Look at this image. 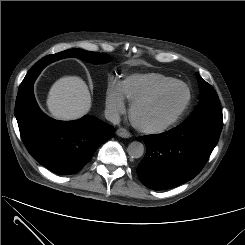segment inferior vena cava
<instances>
[{
	"label": "inferior vena cava",
	"mask_w": 245,
	"mask_h": 245,
	"mask_svg": "<svg viewBox=\"0 0 245 245\" xmlns=\"http://www.w3.org/2000/svg\"><path fill=\"white\" fill-rule=\"evenodd\" d=\"M105 118L113 124H119L120 122V115L118 111L113 109H106L105 110Z\"/></svg>",
	"instance_id": "602c4592"
}]
</instances>
